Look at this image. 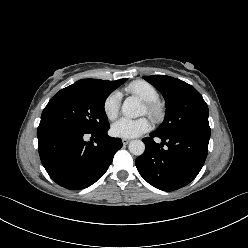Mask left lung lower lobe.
I'll list each match as a JSON object with an SVG mask.
<instances>
[{
	"label": "left lung lower lobe",
	"instance_id": "left-lung-lower-lobe-1",
	"mask_svg": "<svg viewBox=\"0 0 248 248\" xmlns=\"http://www.w3.org/2000/svg\"><path fill=\"white\" fill-rule=\"evenodd\" d=\"M210 127L184 129L163 137L155 132L144 138L145 152L136 161L140 175L152 186L173 191L189 184L198 175L208 153ZM159 137L161 143L153 138ZM164 144L167 149H163Z\"/></svg>",
	"mask_w": 248,
	"mask_h": 248
}]
</instances>
